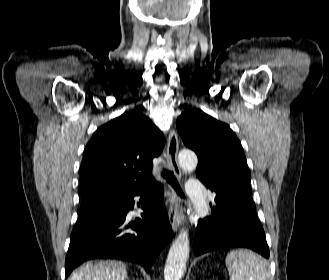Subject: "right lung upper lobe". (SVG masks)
Returning a JSON list of instances; mask_svg holds the SVG:
<instances>
[{"mask_svg":"<svg viewBox=\"0 0 329 280\" xmlns=\"http://www.w3.org/2000/svg\"><path fill=\"white\" fill-rule=\"evenodd\" d=\"M163 147V134L140 111L126 112L99 127L86 145L81 163L82 201L153 183L152 159Z\"/></svg>","mask_w":329,"mask_h":280,"instance_id":"1","label":"right lung upper lobe"}]
</instances>
